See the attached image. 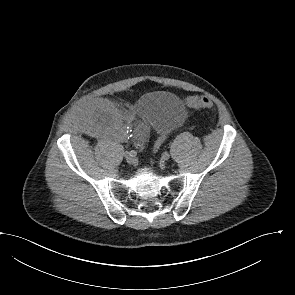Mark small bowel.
Returning a JSON list of instances; mask_svg holds the SVG:
<instances>
[{
    "mask_svg": "<svg viewBox=\"0 0 295 295\" xmlns=\"http://www.w3.org/2000/svg\"><path fill=\"white\" fill-rule=\"evenodd\" d=\"M189 99L190 97L186 98L187 103ZM82 119L97 132L119 140H125L126 132H128L126 130L133 126L132 140L138 148L144 146L150 133V128L144 119L137 118L134 113H124L118 110L106 99L89 101L85 105Z\"/></svg>",
    "mask_w": 295,
    "mask_h": 295,
    "instance_id": "1",
    "label": "small bowel"
}]
</instances>
